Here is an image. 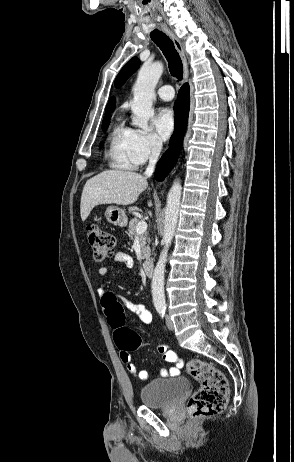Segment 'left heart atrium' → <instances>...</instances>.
I'll return each instance as SVG.
<instances>
[{"label":"left heart atrium","mask_w":294,"mask_h":462,"mask_svg":"<svg viewBox=\"0 0 294 462\" xmlns=\"http://www.w3.org/2000/svg\"><path fill=\"white\" fill-rule=\"evenodd\" d=\"M174 125L175 121L172 110L168 108L160 109L154 119V127L158 137L163 141L167 140L173 132Z\"/></svg>","instance_id":"obj_1"}]
</instances>
